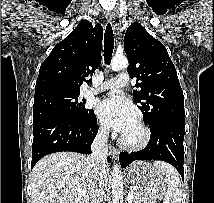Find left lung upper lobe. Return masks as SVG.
<instances>
[{"instance_id":"5c2ea615","label":"left lung upper lobe","mask_w":214,"mask_h":203,"mask_svg":"<svg viewBox=\"0 0 214 203\" xmlns=\"http://www.w3.org/2000/svg\"><path fill=\"white\" fill-rule=\"evenodd\" d=\"M124 50L128 74L140 88L133 97L149 126L165 117H185L183 91L165 46L134 22L126 31Z\"/></svg>"}]
</instances>
